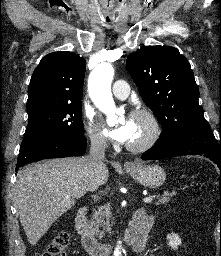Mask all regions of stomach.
<instances>
[{
	"label": "stomach",
	"mask_w": 221,
	"mask_h": 256,
	"mask_svg": "<svg viewBox=\"0 0 221 256\" xmlns=\"http://www.w3.org/2000/svg\"><path fill=\"white\" fill-rule=\"evenodd\" d=\"M126 171L130 176L147 188H159L166 179L165 171L157 165H135L127 167Z\"/></svg>",
	"instance_id": "1"
}]
</instances>
